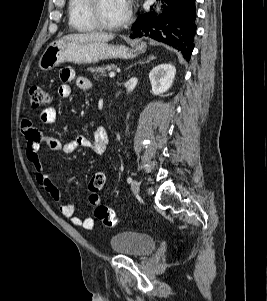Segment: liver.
Here are the masks:
<instances>
[{
  "label": "liver",
  "instance_id": "6515ba94",
  "mask_svg": "<svg viewBox=\"0 0 267 301\" xmlns=\"http://www.w3.org/2000/svg\"><path fill=\"white\" fill-rule=\"evenodd\" d=\"M114 39V35L106 33H86V34H69L62 38V40L72 42H107Z\"/></svg>",
  "mask_w": 267,
  "mask_h": 301
}]
</instances>
